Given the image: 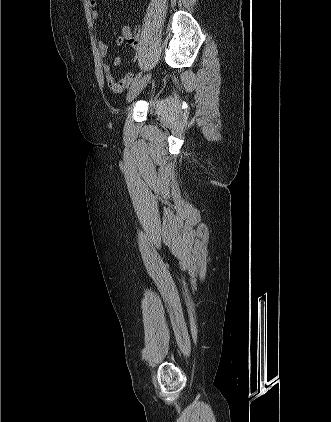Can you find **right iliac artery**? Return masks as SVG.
I'll list each match as a JSON object with an SVG mask.
<instances>
[{"label": "right iliac artery", "mask_w": 331, "mask_h": 422, "mask_svg": "<svg viewBox=\"0 0 331 422\" xmlns=\"http://www.w3.org/2000/svg\"><path fill=\"white\" fill-rule=\"evenodd\" d=\"M141 75H142V72H140V73H138V74L136 75V77L134 78V80H133V82H132L131 87H132V86H134V85H135V84L139 81V79H140Z\"/></svg>", "instance_id": "right-iliac-artery-1"}]
</instances>
